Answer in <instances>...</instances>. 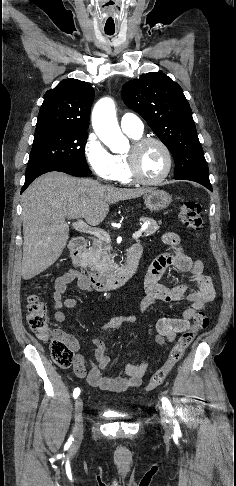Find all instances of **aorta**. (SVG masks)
I'll return each instance as SVG.
<instances>
[{
    "label": "aorta",
    "instance_id": "aorta-1",
    "mask_svg": "<svg viewBox=\"0 0 236 486\" xmlns=\"http://www.w3.org/2000/svg\"><path fill=\"white\" fill-rule=\"evenodd\" d=\"M92 125L99 139L112 152L118 153L127 148L128 140L118 125L115 104L111 98H103L95 105Z\"/></svg>",
    "mask_w": 236,
    "mask_h": 486
}]
</instances>
